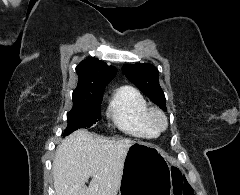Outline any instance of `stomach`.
Returning a JSON list of instances; mask_svg holds the SVG:
<instances>
[{
    "instance_id": "0dacf381",
    "label": "stomach",
    "mask_w": 240,
    "mask_h": 195,
    "mask_svg": "<svg viewBox=\"0 0 240 195\" xmlns=\"http://www.w3.org/2000/svg\"><path fill=\"white\" fill-rule=\"evenodd\" d=\"M118 195H171L170 165L163 149L146 141L128 147Z\"/></svg>"
}]
</instances>
